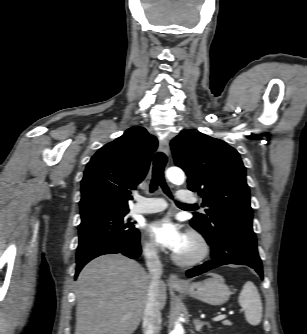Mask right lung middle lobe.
<instances>
[{"label": "right lung middle lobe", "instance_id": "1", "mask_svg": "<svg viewBox=\"0 0 307 334\" xmlns=\"http://www.w3.org/2000/svg\"><path fill=\"white\" fill-rule=\"evenodd\" d=\"M127 213L99 212L81 216L77 261L105 248H119L136 242L140 233L125 218Z\"/></svg>", "mask_w": 307, "mask_h": 334}]
</instances>
